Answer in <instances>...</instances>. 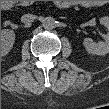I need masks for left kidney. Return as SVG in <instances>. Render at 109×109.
Listing matches in <instances>:
<instances>
[{
  "instance_id": "1",
  "label": "left kidney",
  "mask_w": 109,
  "mask_h": 109,
  "mask_svg": "<svg viewBox=\"0 0 109 109\" xmlns=\"http://www.w3.org/2000/svg\"><path fill=\"white\" fill-rule=\"evenodd\" d=\"M100 23L102 25L109 26L108 17H102L100 19ZM83 44L87 52L90 54L106 55L109 53V35H105V41L99 43H94L92 39L85 38Z\"/></svg>"
}]
</instances>
